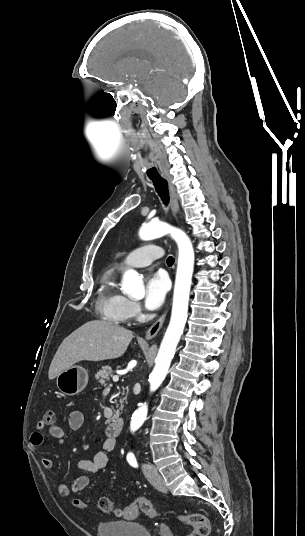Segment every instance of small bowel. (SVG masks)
<instances>
[{
	"mask_svg": "<svg viewBox=\"0 0 305 536\" xmlns=\"http://www.w3.org/2000/svg\"><path fill=\"white\" fill-rule=\"evenodd\" d=\"M85 422V417L82 411L74 410L69 414L68 427L70 430L80 429ZM48 428L50 436L62 445L66 439V431L57 425V427H35L34 431L30 435V447L33 451H37L41 448L44 442V431ZM115 448V440L106 438L102 441L101 450L97 452L90 459H81L78 461L77 466L79 469L97 473L100 470L107 467L109 463L108 453ZM41 465L44 469L50 470L53 468V461L48 457L41 459ZM89 485V478L87 476H80L76 478L70 486L60 485L59 492L65 497L78 493L84 490Z\"/></svg>",
	"mask_w": 305,
	"mask_h": 536,
	"instance_id": "obj_1",
	"label": "small bowel"
}]
</instances>
